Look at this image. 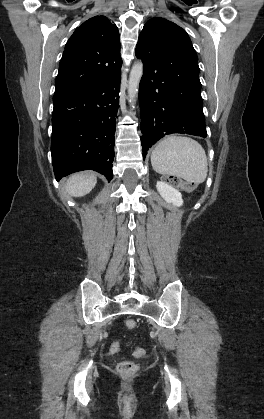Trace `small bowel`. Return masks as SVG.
Here are the masks:
<instances>
[{"label": "small bowel", "mask_w": 264, "mask_h": 419, "mask_svg": "<svg viewBox=\"0 0 264 419\" xmlns=\"http://www.w3.org/2000/svg\"><path fill=\"white\" fill-rule=\"evenodd\" d=\"M119 350V343L118 342H113L110 346V351L112 353H116Z\"/></svg>", "instance_id": "obj_1"}]
</instances>
